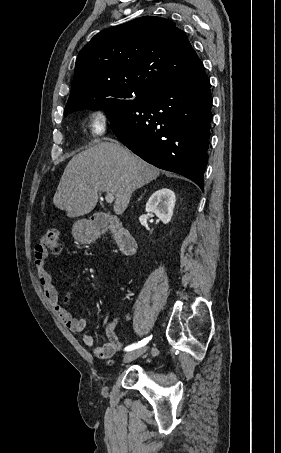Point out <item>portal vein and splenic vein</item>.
Masks as SVG:
<instances>
[{
  "label": "portal vein and splenic vein",
  "mask_w": 281,
  "mask_h": 453,
  "mask_svg": "<svg viewBox=\"0 0 281 453\" xmlns=\"http://www.w3.org/2000/svg\"><path fill=\"white\" fill-rule=\"evenodd\" d=\"M105 200L106 202H113L114 200L113 192H106Z\"/></svg>",
  "instance_id": "portal-vein-and-splenic-vein-1"
}]
</instances>
